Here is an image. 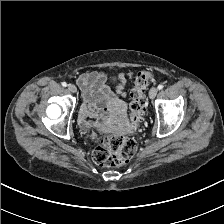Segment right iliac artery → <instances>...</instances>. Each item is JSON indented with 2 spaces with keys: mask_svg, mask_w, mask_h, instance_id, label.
Segmentation results:
<instances>
[{
  "mask_svg": "<svg viewBox=\"0 0 224 224\" xmlns=\"http://www.w3.org/2000/svg\"><path fill=\"white\" fill-rule=\"evenodd\" d=\"M62 86L63 87H66L67 86V83L66 82H62Z\"/></svg>",
  "mask_w": 224,
  "mask_h": 224,
  "instance_id": "obj_1",
  "label": "right iliac artery"
}]
</instances>
